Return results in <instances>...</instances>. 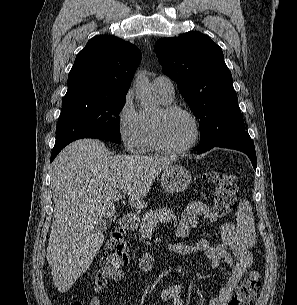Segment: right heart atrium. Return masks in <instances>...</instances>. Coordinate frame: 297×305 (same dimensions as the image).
<instances>
[{
	"mask_svg": "<svg viewBox=\"0 0 297 305\" xmlns=\"http://www.w3.org/2000/svg\"><path fill=\"white\" fill-rule=\"evenodd\" d=\"M118 135L127 151L138 149L142 129L141 113L136 109L133 92L129 90L123 97L116 114Z\"/></svg>",
	"mask_w": 297,
	"mask_h": 305,
	"instance_id": "obj_1",
	"label": "right heart atrium"
}]
</instances>
